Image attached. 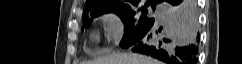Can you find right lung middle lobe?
<instances>
[{
  "mask_svg": "<svg viewBox=\"0 0 242 64\" xmlns=\"http://www.w3.org/2000/svg\"><path fill=\"white\" fill-rule=\"evenodd\" d=\"M152 8L153 10H155V7L152 6ZM141 11V14H137L133 10V8L110 11L116 13L124 23V36L120 42V46L122 48H126L136 37H138L141 33H143L153 24L154 18H148L146 16L147 10L144 7H142ZM104 13L107 12L94 13L91 15L82 16V21L85 22L84 26L88 28V26L91 24L92 19H90V17L94 18Z\"/></svg>",
  "mask_w": 242,
  "mask_h": 64,
  "instance_id": "right-lung-middle-lobe-1",
  "label": "right lung middle lobe"
}]
</instances>
